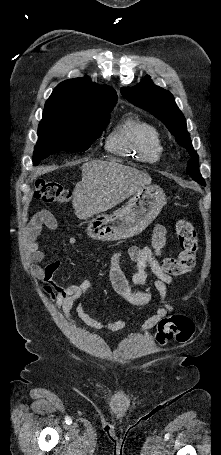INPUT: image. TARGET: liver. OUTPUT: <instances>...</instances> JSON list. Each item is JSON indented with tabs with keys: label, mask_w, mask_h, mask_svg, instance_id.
<instances>
[{
	"label": "liver",
	"mask_w": 221,
	"mask_h": 455,
	"mask_svg": "<svg viewBox=\"0 0 221 455\" xmlns=\"http://www.w3.org/2000/svg\"><path fill=\"white\" fill-rule=\"evenodd\" d=\"M81 170L72 204L82 220L115 207L152 181L147 173L116 161H88Z\"/></svg>",
	"instance_id": "1"
}]
</instances>
